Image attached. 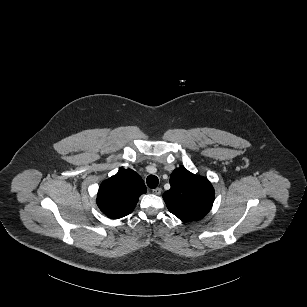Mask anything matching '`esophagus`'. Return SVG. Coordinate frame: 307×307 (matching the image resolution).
Instances as JSON below:
<instances>
[{
    "label": "esophagus",
    "mask_w": 307,
    "mask_h": 307,
    "mask_svg": "<svg viewBox=\"0 0 307 307\" xmlns=\"http://www.w3.org/2000/svg\"><path fill=\"white\" fill-rule=\"evenodd\" d=\"M161 191H162V189L158 187V188L153 189V190H152V193H153L154 195H160V194H161Z\"/></svg>",
    "instance_id": "obj_1"
}]
</instances>
